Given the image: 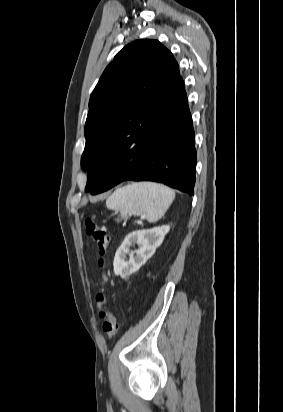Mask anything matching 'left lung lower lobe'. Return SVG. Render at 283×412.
Instances as JSON below:
<instances>
[{"instance_id":"0a47b994","label":"left lung lower lobe","mask_w":283,"mask_h":412,"mask_svg":"<svg viewBox=\"0 0 283 412\" xmlns=\"http://www.w3.org/2000/svg\"><path fill=\"white\" fill-rule=\"evenodd\" d=\"M196 162L192 118L183 87L140 154L117 152L107 158L95 177L96 194L133 180L160 182L193 195Z\"/></svg>"}]
</instances>
